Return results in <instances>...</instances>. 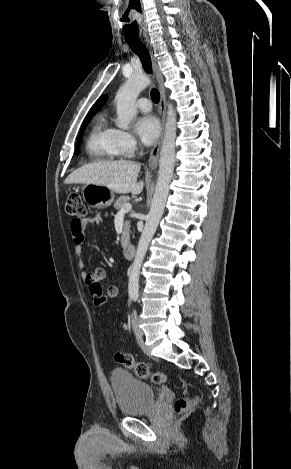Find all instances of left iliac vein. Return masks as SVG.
<instances>
[{
  "label": "left iliac vein",
  "mask_w": 291,
  "mask_h": 469,
  "mask_svg": "<svg viewBox=\"0 0 291 469\" xmlns=\"http://www.w3.org/2000/svg\"><path fill=\"white\" fill-rule=\"evenodd\" d=\"M132 327L136 337L138 339H142L144 333L143 330L139 327V320L136 310H134L132 313Z\"/></svg>",
  "instance_id": "obj_1"
}]
</instances>
